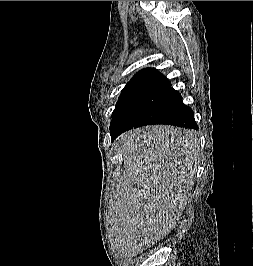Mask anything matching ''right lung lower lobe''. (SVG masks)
Instances as JSON below:
<instances>
[{"instance_id":"98d812e1","label":"right lung lower lobe","mask_w":253,"mask_h":266,"mask_svg":"<svg viewBox=\"0 0 253 266\" xmlns=\"http://www.w3.org/2000/svg\"><path fill=\"white\" fill-rule=\"evenodd\" d=\"M155 124H169L184 128L198 129L194 119L193 111L183 103L181 94L174 91L172 105L164 118ZM126 123H113L110 125V134L112 141L121 133L130 130Z\"/></svg>"}]
</instances>
